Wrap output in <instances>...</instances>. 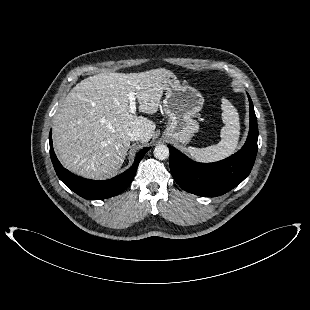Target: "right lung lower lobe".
<instances>
[{"mask_svg":"<svg viewBox=\"0 0 310 310\" xmlns=\"http://www.w3.org/2000/svg\"><path fill=\"white\" fill-rule=\"evenodd\" d=\"M49 143L51 160L59 179L76 194L89 200L106 199L116 196L124 191L132 182L137 171L138 164L144 154L150 149L145 148L139 151L135 157L132 167L119 176L105 181H96L74 175L60 164L53 150L51 131Z\"/></svg>","mask_w":310,"mask_h":310,"instance_id":"right-lung-lower-lobe-1","label":"right lung lower lobe"}]
</instances>
